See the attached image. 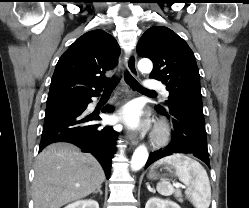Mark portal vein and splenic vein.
<instances>
[{
    "mask_svg": "<svg viewBox=\"0 0 249 208\" xmlns=\"http://www.w3.org/2000/svg\"><path fill=\"white\" fill-rule=\"evenodd\" d=\"M174 186L177 187V188L183 187V185H181L180 183H175Z\"/></svg>",
    "mask_w": 249,
    "mask_h": 208,
    "instance_id": "18ae733b",
    "label": "portal vein and splenic vein"
}]
</instances>
